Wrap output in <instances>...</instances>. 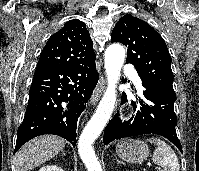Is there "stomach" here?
I'll use <instances>...</instances> for the list:
<instances>
[{"label": "stomach", "instance_id": "obj_1", "mask_svg": "<svg viewBox=\"0 0 199 171\" xmlns=\"http://www.w3.org/2000/svg\"><path fill=\"white\" fill-rule=\"evenodd\" d=\"M118 156L130 163H141L149 155L148 145L140 140L122 139L116 146Z\"/></svg>", "mask_w": 199, "mask_h": 171}]
</instances>
